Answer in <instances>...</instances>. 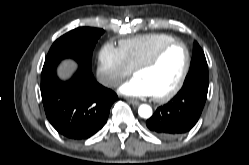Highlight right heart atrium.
Instances as JSON below:
<instances>
[{"label":"right heart atrium","mask_w":249,"mask_h":165,"mask_svg":"<svg viewBox=\"0 0 249 165\" xmlns=\"http://www.w3.org/2000/svg\"><path fill=\"white\" fill-rule=\"evenodd\" d=\"M119 48L105 44L99 51L97 77L107 87H116L124 78L131 74Z\"/></svg>","instance_id":"d8ad5b80"}]
</instances>
